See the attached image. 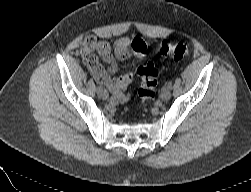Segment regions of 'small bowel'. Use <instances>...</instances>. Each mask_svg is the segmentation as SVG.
Returning <instances> with one entry per match:
<instances>
[{
	"label": "small bowel",
	"instance_id": "obj_1",
	"mask_svg": "<svg viewBox=\"0 0 251 192\" xmlns=\"http://www.w3.org/2000/svg\"><path fill=\"white\" fill-rule=\"evenodd\" d=\"M146 43L141 39L130 40L127 37L116 39L113 45L106 40L88 35L83 42L81 55L93 78L106 86L119 102H124L128 96L124 90L132 83L131 74L116 76L118 69L117 61L126 60L131 56H143L146 53ZM96 53L107 63L104 68L98 61Z\"/></svg>",
	"mask_w": 251,
	"mask_h": 192
}]
</instances>
